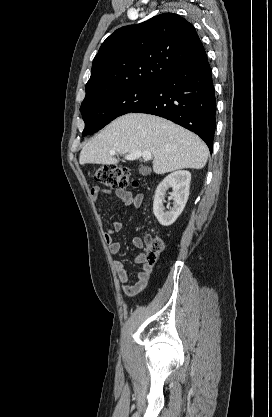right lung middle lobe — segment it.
Returning <instances> with one entry per match:
<instances>
[{
	"label": "right lung middle lobe",
	"instance_id": "1",
	"mask_svg": "<svg viewBox=\"0 0 272 417\" xmlns=\"http://www.w3.org/2000/svg\"><path fill=\"white\" fill-rule=\"evenodd\" d=\"M158 84L125 88L84 101L80 111L85 122L83 136L93 134L115 118L130 113L151 98Z\"/></svg>",
	"mask_w": 272,
	"mask_h": 417
}]
</instances>
